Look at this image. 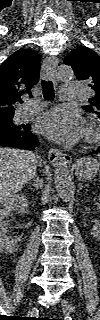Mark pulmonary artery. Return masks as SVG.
<instances>
[{
    "instance_id": "obj_1",
    "label": "pulmonary artery",
    "mask_w": 100,
    "mask_h": 320,
    "mask_svg": "<svg viewBox=\"0 0 100 320\" xmlns=\"http://www.w3.org/2000/svg\"><path fill=\"white\" fill-rule=\"evenodd\" d=\"M83 86L80 83H67L61 87L60 99L62 101H74L79 97ZM45 103L41 101H33L26 104L23 114L25 116L31 115L43 109Z\"/></svg>"
}]
</instances>
